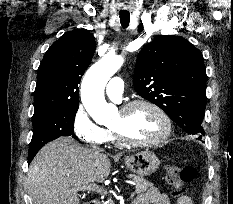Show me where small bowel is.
Listing matches in <instances>:
<instances>
[{
    "instance_id": "1",
    "label": "small bowel",
    "mask_w": 233,
    "mask_h": 204,
    "mask_svg": "<svg viewBox=\"0 0 233 204\" xmlns=\"http://www.w3.org/2000/svg\"><path fill=\"white\" fill-rule=\"evenodd\" d=\"M133 204H171L169 197L159 189L152 187L139 194ZM176 204H193L185 194L177 196Z\"/></svg>"
}]
</instances>
